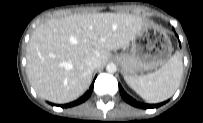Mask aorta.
Returning <instances> with one entry per match:
<instances>
[{
	"label": "aorta",
	"instance_id": "aorta-1",
	"mask_svg": "<svg viewBox=\"0 0 203 123\" xmlns=\"http://www.w3.org/2000/svg\"><path fill=\"white\" fill-rule=\"evenodd\" d=\"M106 70H107V72H109V73H114V72H116L117 67H116V65H115L114 63H109V64L106 66Z\"/></svg>",
	"mask_w": 203,
	"mask_h": 123
}]
</instances>
